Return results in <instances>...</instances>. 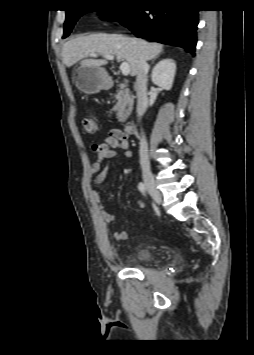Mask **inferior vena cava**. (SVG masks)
<instances>
[{
  "mask_svg": "<svg viewBox=\"0 0 254 355\" xmlns=\"http://www.w3.org/2000/svg\"><path fill=\"white\" fill-rule=\"evenodd\" d=\"M147 73L148 65L145 61H141L135 83V90L137 93V115L139 118L143 116L148 107ZM139 156L141 167L149 169L148 145L143 133L140 139Z\"/></svg>",
  "mask_w": 254,
  "mask_h": 355,
  "instance_id": "602c4592",
  "label": "inferior vena cava"
}]
</instances>
